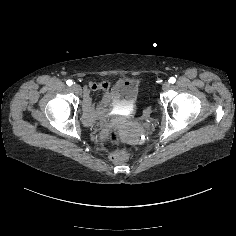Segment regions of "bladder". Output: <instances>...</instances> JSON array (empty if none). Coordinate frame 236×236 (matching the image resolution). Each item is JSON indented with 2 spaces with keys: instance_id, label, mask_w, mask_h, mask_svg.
I'll return each mask as SVG.
<instances>
[{
  "instance_id": "1",
  "label": "bladder",
  "mask_w": 236,
  "mask_h": 236,
  "mask_svg": "<svg viewBox=\"0 0 236 236\" xmlns=\"http://www.w3.org/2000/svg\"><path fill=\"white\" fill-rule=\"evenodd\" d=\"M139 86L134 79H118L112 86L110 94L119 101L132 102L136 100Z\"/></svg>"
}]
</instances>
